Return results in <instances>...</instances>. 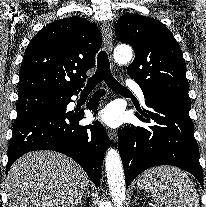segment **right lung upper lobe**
Returning a JSON list of instances; mask_svg holds the SVG:
<instances>
[{
	"label": "right lung upper lobe",
	"mask_w": 206,
	"mask_h": 207,
	"mask_svg": "<svg viewBox=\"0 0 206 207\" xmlns=\"http://www.w3.org/2000/svg\"><path fill=\"white\" fill-rule=\"evenodd\" d=\"M101 46L98 28L70 17L44 27L32 38L20 68L19 98L79 91Z\"/></svg>",
	"instance_id": "1"
}]
</instances>
